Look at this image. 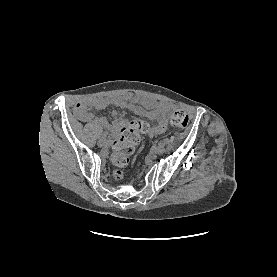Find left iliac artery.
Returning <instances> with one entry per match:
<instances>
[{
    "instance_id": "1",
    "label": "left iliac artery",
    "mask_w": 277,
    "mask_h": 277,
    "mask_svg": "<svg viewBox=\"0 0 277 277\" xmlns=\"http://www.w3.org/2000/svg\"><path fill=\"white\" fill-rule=\"evenodd\" d=\"M169 142H170L169 139H163V140L160 141V144L161 145H167V144H169Z\"/></svg>"
}]
</instances>
